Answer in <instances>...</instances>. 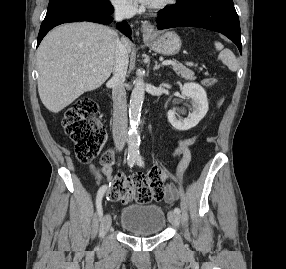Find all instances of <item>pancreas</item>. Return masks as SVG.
Listing matches in <instances>:
<instances>
[{
	"label": "pancreas",
	"mask_w": 286,
	"mask_h": 269,
	"mask_svg": "<svg viewBox=\"0 0 286 269\" xmlns=\"http://www.w3.org/2000/svg\"><path fill=\"white\" fill-rule=\"evenodd\" d=\"M172 68L178 75H181V77H183L186 80H194L195 79L194 72L187 69L185 66H183L181 64H177V63L173 64Z\"/></svg>",
	"instance_id": "pancreas-1"
}]
</instances>
